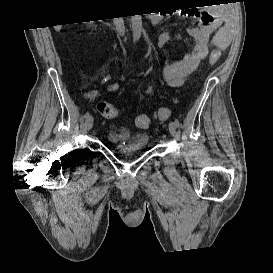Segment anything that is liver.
Instances as JSON below:
<instances>
[{
    "instance_id": "1",
    "label": "liver",
    "mask_w": 273,
    "mask_h": 273,
    "mask_svg": "<svg viewBox=\"0 0 273 273\" xmlns=\"http://www.w3.org/2000/svg\"><path fill=\"white\" fill-rule=\"evenodd\" d=\"M60 27H61L60 25L56 26L55 30L59 31L61 29Z\"/></svg>"
}]
</instances>
